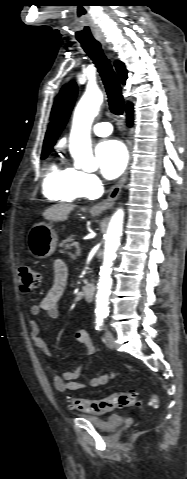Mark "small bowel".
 <instances>
[{
  "instance_id": "small-bowel-1",
  "label": "small bowel",
  "mask_w": 187,
  "mask_h": 479,
  "mask_svg": "<svg viewBox=\"0 0 187 479\" xmlns=\"http://www.w3.org/2000/svg\"><path fill=\"white\" fill-rule=\"evenodd\" d=\"M67 282L68 268L63 261L58 260L54 264V278L51 288L41 299L40 303L32 305L30 308L31 319L29 320V327L31 339L37 349L48 359L50 358V352L46 343L40 337V325L37 317L42 311L46 312L47 316L51 319H56L60 316V301L65 292ZM75 338L86 349V361L76 367L73 371H65L61 374H54L52 376L53 386L55 390L60 393H64L68 390L81 391L89 386L97 388L106 384L117 375V373L105 372L92 378L89 382L78 381L77 379L82 375L86 367L87 360L95 354L96 347L92 337L83 328L76 330Z\"/></svg>"
}]
</instances>
